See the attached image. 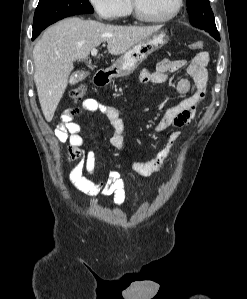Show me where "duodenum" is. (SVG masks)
<instances>
[{
    "label": "duodenum",
    "mask_w": 247,
    "mask_h": 299,
    "mask_svg": "<svg viewBox=\"0 0 247 299\" xmlns=\"http://www.w3.org/2000/svg\"><path fill=\"white\" fill-rule=\"evenodd\" d=\"M111 74H112V68H106L97 72V74L94 77L95 84L97 86L105 85L109 81Z\"/></svg>",
    "instance_id": "duodenum-1"
}]
</instances>
